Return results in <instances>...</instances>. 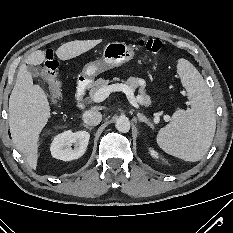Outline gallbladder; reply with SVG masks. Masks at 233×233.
<instances>
[{"label": "gallbladder", "mask_w": 233, "mask_h": 233, "mask_svg": "<svg viewBox=\"0 0 233 233\" xmlns=\"http://www.w3.org/2000/svg\"><path fill=\"white\" fill-rule=\"evenodd\" d=\"M27 70L33 77H37L39 75V70L32 65L27 66Z\"/></svg>", "instance_id": "gallbladder-1"}]
</instances>
